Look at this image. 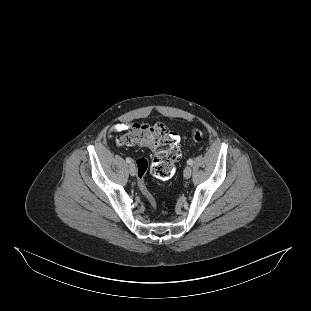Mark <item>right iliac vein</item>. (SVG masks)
<instances>
[{
  "label": "right iliac vein",
  "mask_w": 311,
  "mask_h": 311,
  "mask_svg": "<svg viewBox=\"0 0 311 311\" xmlns=\"http://www.w3.org/2000/svg\"><path fill=\"white\" fill-rule=\"evenodd\" d=\"M129 173L130 175L134 176L136 174V167L133 163L129 164Z\"/></svg>",
  "instance_id": "obj_1"
}]
</instances>
